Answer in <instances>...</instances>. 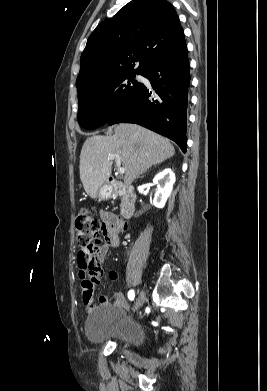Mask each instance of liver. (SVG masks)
I'll use <instances>...</instances> for the list:
<instances>
[{"mask_svg":"<svg viewBox=\"0 0 267 391\" xmlns=\"http://www.w3.org/2000/svg\"><path fill=\"white\" fill-rule=\"evenodd\" d=\"M113 136H92L86 139L80 154V179L92 198L112 172L111 154H118L125 168L124 182L131 184L153 165L175 154L168 139L136 124H118Z\"/></svg>","mask_w":267,"mask_h":391,"instance_id":"obj_1","label":"liver"}]
</instances>
